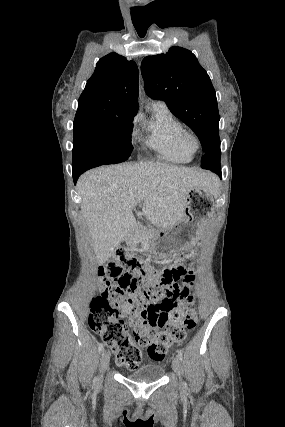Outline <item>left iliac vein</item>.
Listing matches in <instances>:
<instances>
[{
	"mask_svg": "<svg viewBox=\"0 0 285 427\" xmlns=\"http://www.w3.org/2000/svg\"><path fill=\"white\" fill-rule=\"evenodd\" d=\"M172 368L173 371L175 372V374L179 377L180 376V369H181V365H180V360L178 357H174L172 360Z\"/></svg>",
	"mask_w": 285,
	"mask_h": 427,
	"instance_id": "4c4485c4",
	"label": "left iliac vein"
}]
</instances>
